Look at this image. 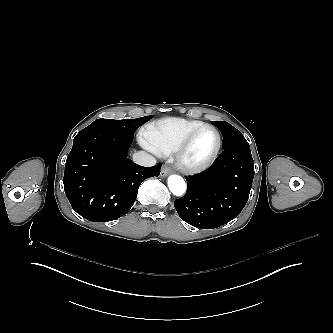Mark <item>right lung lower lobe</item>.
Listing matches in <instances>:
<instances>
[{
    "instance_id": "right-lung-lower-lobe-1",
    "label": "right lung lower lobe",
    "mask_w": 333,
    "mask_h": 333,
    "mask_svg": "<svg viewBox=\"0 0 333 333\" xmlns=\"http://www.w3.org/2000/svg\"><path fill=\"white\" fill-rule=\"evenodd\" d=\"M133 136L100 128L81 130L67 156L63 178L72 208L90 221L125 215L140 184L160 174L161 163L146 168L127 158Z\"/></svg>"
}]
</instances>
